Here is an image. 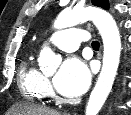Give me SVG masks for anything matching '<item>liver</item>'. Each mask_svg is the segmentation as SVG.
Returning <instances> with one entry per match:
<instances>
[{"label":"liver","mask_w":131,"mask_h":115,"mask_svg":"<svg viewBox=\"0 0 131 115\" xmlns=\"http://www.w3.org/2000/svg\"><path fill=\"white\" fill-rule=\"evenodd\" d=\"M9 114L12 115H60L59 112L50 110L45 107H37L29 104H16L14 105Z\"/></svg>","instance_id":"obj_1"}]
</instances>
